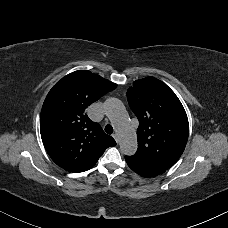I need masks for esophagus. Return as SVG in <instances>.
Masks as SVG:
<instances>
[{"label":"esophagus","mask_w":228,"mask_h":228,"mask_svg":"<svg viewBox=\"0 0 228 228\" xmlns=\"http://www.w3.org/2000/svg\"><path fill=\"white\" fill-rule=\"evenodd\" d=\"M113 138L115 139L116 142H118V136H117V134H113Z\"/></svg>","instance_id":"34e87169"}]
</instances>
